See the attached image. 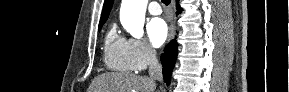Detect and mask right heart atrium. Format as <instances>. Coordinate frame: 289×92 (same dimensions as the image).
I'll use <instances>...</instances> for the list:
<instances>
[{"label":"right heart atrium","instance_id":"obj_1","mask_svg":"<svg viewBox=\"0 0 289 92\" xmlns=\"http://www.w3.org/2000/svg\"><path fill=\"white\" fill-rule=\"evenodd\" d=\"M128 55L133 70H144L155 60V51L144 39H128Z\"/></svg>","mask_w":289,"mask_h":92}]
</instances>
